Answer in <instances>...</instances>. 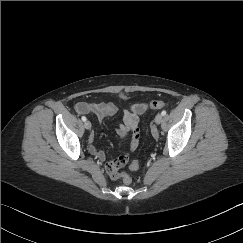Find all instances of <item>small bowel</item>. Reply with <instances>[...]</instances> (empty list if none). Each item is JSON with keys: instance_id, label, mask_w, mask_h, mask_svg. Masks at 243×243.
I'll list each match as a JSON object with an SVG mask.
<instances>
[{"instance_id": "1", "label": "small bowel", "mask_w": 243, "mask_h": 243, "mask_svg": "<svg viewBox=\"0 0 243 243\" xmlns=\"http://www.w3.org/2000/svg\"><path fill=\"white\" fill-rule=\"evenodd\" d=\"M148 106L146 103H136L130 108L125 109L123 112V120L115 126V131L121 139L130 138L129 150L133 151L139 143V116H141ZM76 110L80 114H92L97 117L99 121H102L104 117L114 115L118 112L119 107L113 102H100V103H86L79 102L76 104ZM95 135L89 136L90 146L88 148L89 153L100 161L105 160V154L103 151L97 149L93 142ZM128 158V154L123 155ZM124 166L118 160L106 161L105 170L107 175L112 180L118 178L119 170Z\"/></svg>"}]
</instances>
